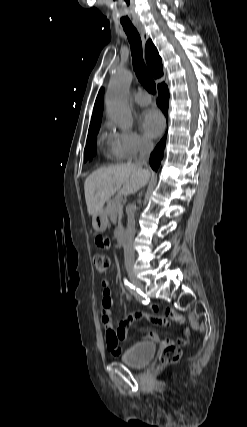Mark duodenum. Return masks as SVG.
Segmentation results:
<instances>
[{
    "label": "duodenum",
    "instance_id": "410a0bca",
    "mask_svg": "<svg viewBox=\"0 0 247 427\" xmlns=\"http://www.w3.org/2000/svg\"><path fill=\"white\" fill-rule=\"evenodd\" d=\"M116 241L120 247H123L125 245V233H124V231L118 232V234L116 236Z\"/></svg>",
    "mask_w": 247,
    "mask_h": 427
}]
</instances>
